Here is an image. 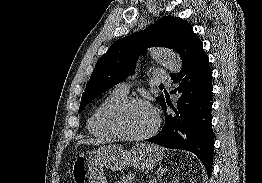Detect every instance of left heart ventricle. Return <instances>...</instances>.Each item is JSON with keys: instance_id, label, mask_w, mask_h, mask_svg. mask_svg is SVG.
I'll return each mask as SVG.
<instances>
[{"instance_id": "1", "label": "left heart ventricle", "mask_w": 262, "mask_h": 183, "mask_svg": "<svg viewBox=\"0 0 262 183\" xmlns=\"http://www.w3.org/2000/svg\"><path fill=\"white\" fill-rule=\"evenodd\" d=\"M120 124L126 133L142 135L150 131L154 126L155 115L147 105H133L122 114Z\"/></svg>"}]
</instances>
